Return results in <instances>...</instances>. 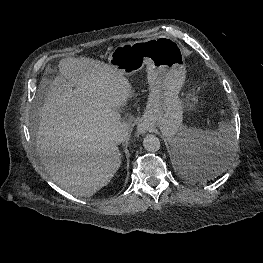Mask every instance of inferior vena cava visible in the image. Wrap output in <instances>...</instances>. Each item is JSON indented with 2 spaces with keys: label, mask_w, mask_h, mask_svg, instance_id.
Listing matches in <instances>:
<instances>
[{
  "label": "inferior vena cava",
  "mask_w": 263,
  "mask_h": 263,
  "mask_svg": "<svg viewBox=\"0 0 263 263\" xmlns=\"http://www.w3.org/2000/svg\"><path fill=\"white\" fill-rule=\"evenodd\" d=\"M128 137V128L124 123L118 122L114 125L111 139L115 143H122Z\"/></svg>",
  "instance_id": "1"
}]
</instances>
